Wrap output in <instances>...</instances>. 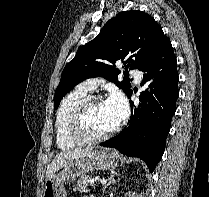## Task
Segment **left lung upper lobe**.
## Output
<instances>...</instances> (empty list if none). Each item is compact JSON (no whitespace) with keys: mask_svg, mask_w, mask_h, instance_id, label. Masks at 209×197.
Segmentation results:
<instances>
[{"mask_svg":"<svg viewBox=\"0 0 209 197\" xmlns=\"http://www.w3.org/2000/svg\"><path fill=\"white\" fill-rule=\"evenodd\" d=\"M166 39L161 26L149 14L141 11L118 13L96 38L79 48L64 68L55 91V109L72 88L94 76L114 82L128 95L132 91L130 79L118 81L120 71L114 68L115 63L121 60L126 70H140Z\"/></svg>","mask_w":209,"mask_h":197,"instance_id":"1","label":"left lung upper lobe"}]
</instances>
